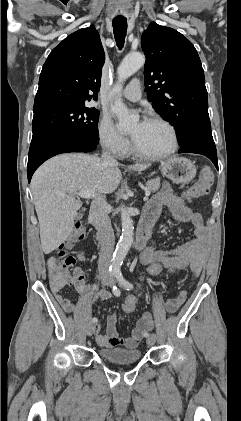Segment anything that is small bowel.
Masks as SVG:
<instances>
[{
  "label": "small bowel",
  "mask_w": 241,
  "mask_h": 421,
  "mask_svg": "<svg viewBox=\"0 0 241 421\" xmlns=\"http://www.w3.org/2000/svg\"><path fill=\"white\" fill-rule=\"evenodd\" d=\"M165 208L181 223H190L193 226L194 239L173 249L149 246L142 252L140 257L141 262L144 265L160 262L171 273H179L184 269H189L193 276H198L207 255L209 245V234L202 216L186 205L169 185H165L151 200L145 209V215H151L157 218ZM78 259L82 262L86 261L84 251L78 254ZM69 283L73 284L79 293L93 294L95 301H103L110 298L109 291L98 290L95 285H87L84 281L83 272L80 269L76 270L75 279ZM65 285H52L51 289L61 307L66 312L72 313L77 309L76 305L60 293L61 288ZM186 298L187 291L182 290L176 297L169 299L166 302L167 312L175 313L183 305ZM116 324L117 315L113 312L107 317L106 334L101 333L100 326L97 327L95 341L98 346L102 348L124 347L133 349L138 346L144 333L152 327V320L148 313H144L128 337H121L118 334Z\"/></svg>",
  "instance_id": "1"
}]
</instances>
